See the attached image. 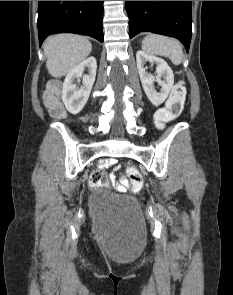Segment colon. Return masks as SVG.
<instances>
[{
	"label": "colon",
	"instance_id": "5ec220e1",
	"mask_svg": "<svg viewBox=\"0 0 233 295\" xmlns=\"http://www.w3.org/2000/svg\"><path fill=\"white\" fill-rule=\"evenodd\" d=\"M59 91L60 86L58 83H50L44 93V103L53 117L64 118L65 111L59 99ZM185 98V83L180 80L172 88L166 107L158 110L156 113V122L159 127L165 126L179 116L183 109ZM127 175L133 184V189L138 190L142 185V175L140 171L136 167L130 166L127 168ZM107 184L108 175L105 171L96 169L91 172L89 177L90 187H102Z\"/></svg>",
	"mask_w": 233,
	"mask_h": 295
}]
</instances>
